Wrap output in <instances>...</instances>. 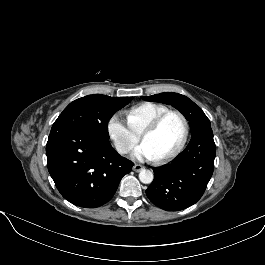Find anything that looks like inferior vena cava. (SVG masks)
<instances>
[{
	"label": "inferior vena cava",
	"instance_id": "obj_1",
	"mask_svg": "<svg viewBox=\"0 0 265 265\" xmlns=\"http://www.w3.org/2000/svg\"><path fill=\"white\" fill-rule=\"evenodd\" d=\"M116 150L118 151V153L124 154L127 152L128 148L123 144H116Z\"/></svg>",
	"mask_w": 265,
	"mask_h": 265
}]
</instances>
